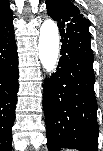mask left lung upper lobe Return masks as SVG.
I'll return each instance as SVG.
<instances>
[{
  "label": "left lung upper lobe",
  "mask_w": 103,
  "mask_h": 151,
  "mask_svg": "<svg viewBox=\"0 0 103 151\" xmlns=\"http://www.w3.org/2000/svg\"><path fill=\"white\" fill-rule=\"evenodd\" d=\"M48 15L58 22L59 30L69 25H80L89 28L90 21L86 19L78 7L67 0H47Z\"/></svg>",
  "instance_id": "obj_1"
}]
</instances>
